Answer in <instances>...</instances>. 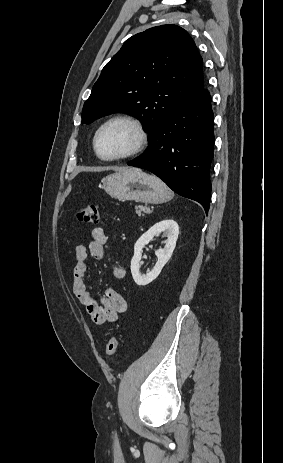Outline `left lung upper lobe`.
I'll use <instances>...</instances> for the list:
<instances>
[{
    "label": "left lung upper lobe",
    "mask_w": 283,
    "mask_h": 463,
    "mask_svg": "<svg viewBox=\"0 0 283 463\" xmlns=\"http://www.w3.org/2000/svg\"><path fill=\"white\" fill-rule=\"evenodd\" d=\"M202 57L187 31L150 28L129 38L105 65L82 111V123L124 112L150 137L179 104L204 85Z\"/></svg>",
    "instance_id": "left-lung-upper-lobe-1"
}]
</instances>
